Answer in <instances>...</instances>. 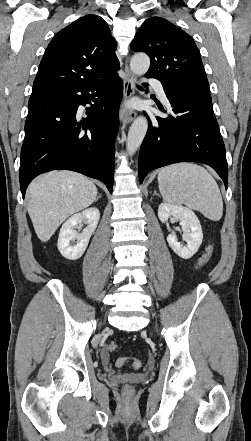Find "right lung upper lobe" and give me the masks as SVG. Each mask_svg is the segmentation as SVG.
Segmentation results:
<instances>
[{"label": "right lung upper lobe", "instance_id": "cb5924a9", "mask_svg": "<svg viewBox=\"0 0 251 441\" xmlns=\"http://www.w3.org/2000/svg\"><path fill=\"white\" fill-rule=\"evenodd\" d=\"M116 47L103 18L97 15L79 18L49 43L32 93L78 87L108 77L119 69Z\"/></svg>", "mask_w": 251, "mask_h": 441}]
</instances>
